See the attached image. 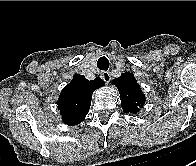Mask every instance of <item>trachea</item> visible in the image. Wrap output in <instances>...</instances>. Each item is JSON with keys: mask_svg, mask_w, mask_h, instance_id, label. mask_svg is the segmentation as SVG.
<instances>
[{"mask_svg": "<svg viewBox=\"0 0 196 166\" xmlns=\"http://www.w3.org/2000/svg\"><path fill=\"white\" fill-rule=\"evenodd\" d=\"M97 66L100 70H108L109 60L105 56L100 57L97 61Z\"/></svg>", "mask_w": 196, "mask_h": 166, "instance_id": "trachea-1", "label": "trachea"}]
</instances>
